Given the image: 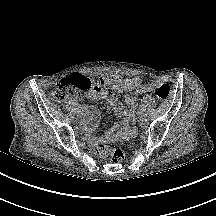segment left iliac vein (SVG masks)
Segmentation results:
<instances>
[{"mask_svg": "<svg viewBox=\"0 0 216 216\" xmlns=\"http://www.w3.org/2000/svg\"><path fill=\"white\" fill-rule=\"evenodd\" d=\"M141 113V115L139 116V119H140V122H144L145 121V118H146V113H145V111H143V112H140Z\"/></svg>", "mask_w": 216, "mask_h": 216, "instance_id": "4c4485c4", "label": "left iliac vein"}]
</instances>
